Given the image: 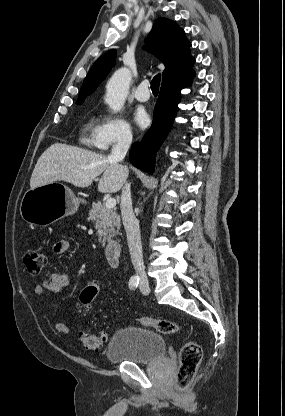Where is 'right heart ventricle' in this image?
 I'll return each instance as SVG.
<instances>
[{
	"mask_svg": "<svg viewBox=\"0 0 285 416\" xmlns=\"http://www.w3.org/2000/svg\"><path fill=\"white\" fill-rule=\"evenodd\" d=\"M93 120L91 119L90 121H89V123L86 125V127H85V130L86 131H91L92 130V128H93Z\"/></svg>",
	"mask_w": 285,
	"mask_h": 416,
	"instance_id": "e07e8e85",
	"label": "right heart ventricle"
}]
</instances>
